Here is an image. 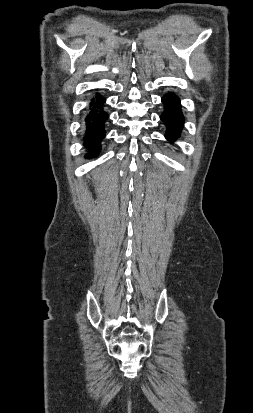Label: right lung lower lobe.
<instances>
[{
  "instance_id": "obj_1",
  "label": "right lung lower lobe",
  "mask_w": 253,
  "mask_h": 413,
  "mask_svg": "<svg viewBox=\"0 0 253 413\" xmlns=\"http://www.w3.org/2000/svg\"><path fill=\"white\" fill-rule=\"evenodd\" d=\"M105 100L102 96L97 95L92 99L89 111L85 117V137L84 145L88 149L86 158L95 157L100 152V143L105 137L104 123L108 115L103 111Z\"/></svg>"
}]
</instances>
